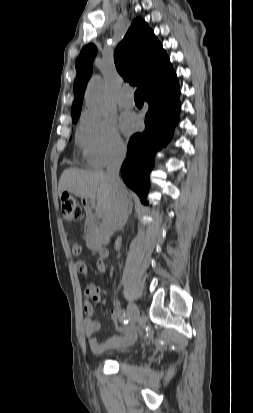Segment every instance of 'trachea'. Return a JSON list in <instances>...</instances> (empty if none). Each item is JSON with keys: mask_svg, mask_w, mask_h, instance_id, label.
<instances>
[{"mask_svg": "<svg viewBox=\"0 0 253 413\" xmlns=\"http://www.w3.org/2000/svg\"><path fill=\"white\" fill-rule=\"evenodd\" d=\"M135 99H143V90L141 88L137 89L134 94Z\"/></svg>", "mask_w": 253, "mask_h": 413, "instance_id": "trachea-1", "label": "trachea"}]
</instances>
